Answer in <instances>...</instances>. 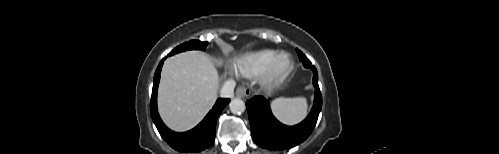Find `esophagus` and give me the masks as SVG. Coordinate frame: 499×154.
<instances>
[{
	"instance_id": "obj_1",
	"label": "esophagus",
	"mask_w": 499,
	"mask_h": 154,
	"mask_svg": "<svg viewBox=\"0 0 499 154\" xmlns=\"http://www.w3.org/2000/svg\"><path fill=\"white\" fill-rule=\"evenodd\" d=\"M249 95H250V91L246 87H244V86H240L236 90V96L237 97L246 98Z\"/></svg>"
}]
</instances>
